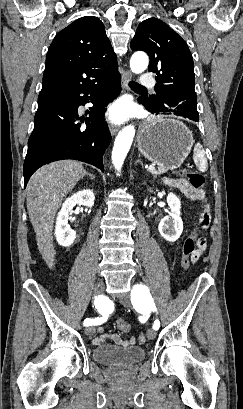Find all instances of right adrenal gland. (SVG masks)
<instances>
[{
    "instance_id": "2a0ac1e0",
    "label": "right adrenal gland",
    "mask_w": 243,
    "mask_h": 409,
    "mask_svg": "<svg viewBox=\"0 0 243 409\" xmlns=\"http://www.w3.org/2000/svg\"><path fill=\"white\" fill-rule=\"evenodd\" d=\"M86 175H88L91 179L94 178V176L91 173L86 172Z\"/></svg>"
}]
</instances>
